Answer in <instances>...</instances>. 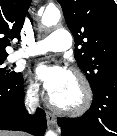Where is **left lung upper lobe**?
<instances>
[{"instance_id": "1", "label": "left lung upper lobe", "mask_w": 117, "mask_h": 136, "mask_svg": "<svg viewBox=\"0 0 117 136\" xmlns=\"http://www.w3.org/2000/svg\"><path fill=\"white\" fill-rule=\"evenodd\" d=\"M75 38V59L92 91L117 78V5L114 0H57Z\"/></svg>"}]
</instances>
